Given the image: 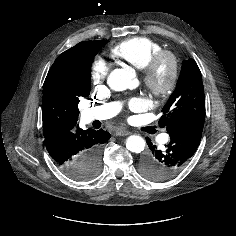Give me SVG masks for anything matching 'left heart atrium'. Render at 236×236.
I'll return each instance as SVG.
<instances>
[{
  "label": "left heart atrium",
  "instance_id": "obj_1",
  "mask_svg": "<svg viewBox=\"0 0 236 236\" xmlns=\"http://www.w3.org/2000/svg\"><path fill=\"white\" fill-rule=\"evenodd\" d=\"M142 101L140 99H133L130 101V106L133 108L141 106Z\"/></svg>",
  "mask_w": 236,
  "mask_h": 236
}]
</instances>
